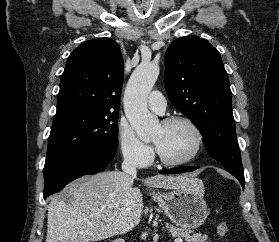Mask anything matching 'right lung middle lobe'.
Returning a JSON list of instances; mask_svg holds the SVG:
<instances>
[{"mask_svg": "<svg viewBox=\"0 0 279 242\" xmlns=\"http://www.w3.org/2000/svg\"><path fill=\"white\" fill-rule=\"evenodd\" d=\"M118 112L90 109L71 110L55 115L46 162L87 150H117Z\"/></svg>", "mask_w": 279, "mask_h": 242, "instance_id": "right-lung-middle-lobe-1", "label": "right lung middle lobe"}]
</instances>
